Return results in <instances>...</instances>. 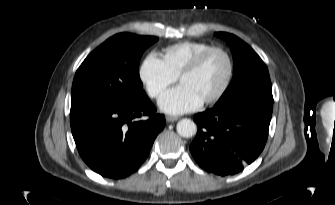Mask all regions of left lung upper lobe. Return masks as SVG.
Listing matches in <instances>:
<instances>
[{"instance_id":"5c2ea615","label":"left lung upper lobe","mask_w":335,"mask_h":205,"mask_svg":"<svg viewBox=\"0 0 335 205\" xmlns=\"http://www.w3.org/2000/svg\"><path fill=\"white\" fill-rule=\"evenodd\" d=\"M215 35L229 45L234 62L232 82L215 105L238 98H256L273 104L269 72L256 52L233 34L217 32Z\"/></svg>"}]
</instances>
